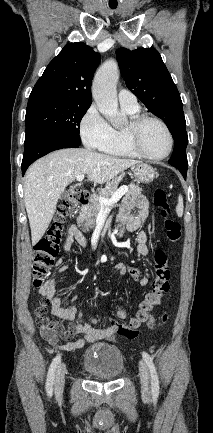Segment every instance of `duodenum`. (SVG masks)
Wrapping results in <instances>:
<instances>
[{"label": "duodenum", "mask_w": 213, "mask_h": 433, "mask_svg": "<svg viewBox=\"0 0 213 433\" xmlns=\"http://www.w3.org/2000/svg\"><path fill=\"white\" fill-rule=\"evenodd\" d=\"M88 201H89V196H88V198L83 202L82 207L86 206V205L88 204ZM126 231H128V230L125 229V228L119 227V228H118V235H119V236H122Z\"/></svg>", "instance_id": "410a0bca"}]
</instances>
